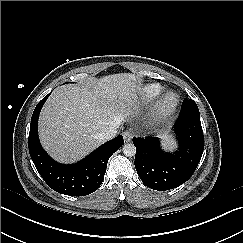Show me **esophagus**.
I'll list each match as a JSON object with an SVG mask.
<instances>
[{
    "label": "esophagus",
    "mask_w": 243,
    "mask_h": 243,
    "mask_svg": "<svg viewBox=\"0 0 243 243\" xmlns=\"http://www.w3.org/2000/svg\"><path fill=\"white\" fill-rule=\"evenodd\" d=\"M134 137V133L131 130H126L123 132V139L126 143H129L132 141V138Z\"/></svg>",
    "instance_id": "1"
}]
</instances>
